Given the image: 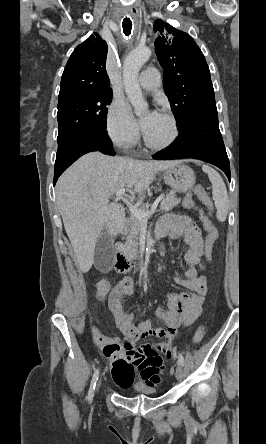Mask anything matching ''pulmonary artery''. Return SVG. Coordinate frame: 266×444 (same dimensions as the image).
I'll return each mask as SVG.
<instances>
[{"label": "pulmonary artery", "instance_id": "e3ab8cb5", "mask_svg": "<svg viewBox=\"0 0 266 444\" xmlns=\"http://www.w3.org/2000/svg\"><path fill=\"white\" fill-rule=\"evenodd\" d=\"M138 83L146 90H154L161 84V74L155 67H148L140 74Z\"/></svg>", "mask_w": 266, "mask_h": 444}]
</instances>
